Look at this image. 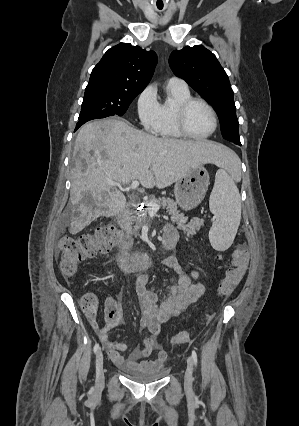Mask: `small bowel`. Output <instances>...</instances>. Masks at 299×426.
I'll return each instance as SVG.
<instances>
[{
  "mask_svg": "<svg viewBox=\"0 0 299 426\" xmlns=\"http://www.w3.org/2000/svg\"><path fill=\"white\" fill-rule=\"evenodd\" d=\"M164 231L174 240L175 245L179 239L176 229L168 225ZM160 263L177 274V282L166 287L165 295L160 301L158 294L149 287L148 275L142 272L137 275L135 291L141 310L140 327L145 332V337L143 345L135 347L127 358L121 355L128 349L127 344L115 342L109 338V331L121 322L117 299L112 296L105 298V324L103 326H100L94 317H90L98 338L107 349L112 362L119 368L153 369L162 367L166 363L168 355L158 339L161 325L185 311L204 292V286L197 282V273L177 257L166 256ZM153 352H156V357L148 359Z\"/></svg>",
  "mask_w": 299,
  "mask_h": 426,
  "instance_id": "1",
  "label": "small bowel"
}]
</instances>
